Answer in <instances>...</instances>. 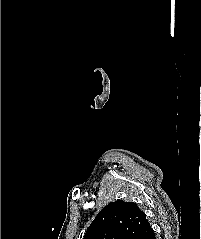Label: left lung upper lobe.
I'll list each match as a JSON object with an SVG mask.
<instances>
[{"mask_svg": "<svg viewBox=\"0 0 201 239\" xmlns=\"http://www.w3.org/2000/svg\"><path fill=\"white\" fill-rule=\"evenodd\" d=\"M150 229L136 203L117 200L97 214L83 239H145Z\"/></svg>", "mask_w": 201, "mask_h": 239, "instance_id": "1", "label": "left lung upper lobe"}]
</instances>
